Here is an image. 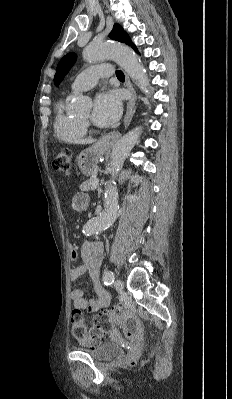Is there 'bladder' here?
Masks as SVG:
<instances>
[{
	"label": "bladder",
	"instance_id": "1",
	"mask_svg": "<svg viewBox=\"0 0 232 399\" xmlns=\"http://www.w3.org/2000/svg\"><path fill=\"white\" fill-rule=\"evenodd\" d=\"M87 352L96 360H108L119 356L122 353V348L120 345L113 341H105L92 349L87 350Z\"/></svg>",
	"mask_w": 232,
	"mask_h": 399
}]
</instances>
